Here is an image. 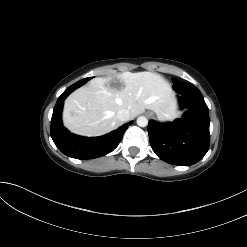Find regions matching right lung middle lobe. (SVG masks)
<instances>
[{
    "label": "right lung middle lobe",
    "mask_w": 247,
    "mask_h": 247,
    "mask_svg": "<svg viewBox=\"0 0 247 247\" xmlns=\"http://www.w3.org/2000/svg\"><path fill=\"white\" fill-rule=\"evenodd\" d=\"M90 79H91V77H88V78L82 79V81L86 83V82H87L88 80H90Z\"/></svg>",
    "instance_id": "obj_1"
}]
</instances>
